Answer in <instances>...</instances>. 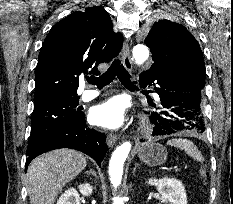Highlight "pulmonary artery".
Returning <instances> with one entry per match:
<instances>
[{"label": "pulmonary artery", "instance_id": "pulmonary-artery-1", "mask_svg": "<svg viewBox=\"0 0 233 204\" xmlns=\"http://www.w3.org/2000/svg\"><path fill=\"white\" fill-rule=\"evenodd\" d=\"M99 94L100 91L98 90H86L81 94L80 100L84 102H88L95 99L97 96H99Z\"/></svg>", "mask_w": 233, "mask_h": 204}]
</instances>
